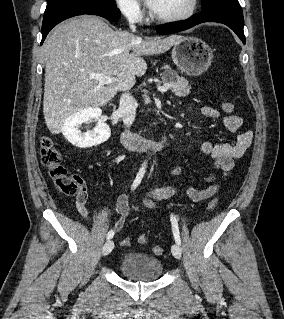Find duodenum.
<instances>
[{"instance_id": "410a0bca", "label": "duodenum", "mask_w": 284, "mask_h": 319, "mask_svg": "<svg viewBox=\"0 0 284 319\" xmlns=\"http://www.w3.org/2000/svg\"><path fill=\"white\" fill-rule=\"evenodd\" d=\"M121 140L123 145L128 148L150 151H160L167 148L169 145L167 138L158 141L152 140L130 130H125L122 133Z\"/></svg>"}]
</instances>
